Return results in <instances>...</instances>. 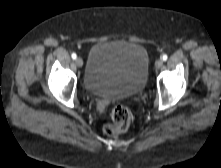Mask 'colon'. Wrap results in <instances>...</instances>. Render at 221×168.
Here are the masks:
<instances>
[{"instance_id": "obj_1", "label": "colon", "mask_w": 221, "mask_h": 168, "mask_svg": "<svg viewBox=\"0 0 221 168\" xmlns=\"http://www.w3.org/2000/svg\"><path fill=\"white\" fill-rule=\"evenodd\" d=\"M107 105V101L105 99H101L98 102L99 110H104ZM112 123L107 124L104 127V132L108 136H116L119 133L123 132L129 126L131 120V113L129 109L123 105H116L111 111Z\"/></svg>"}]
</instances>
